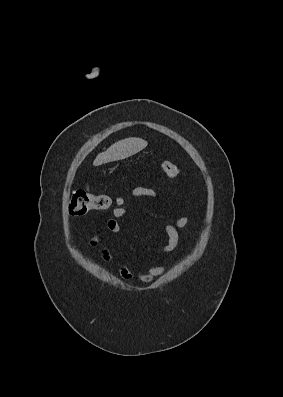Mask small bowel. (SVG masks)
Instances as JSON below:
<instances>
[{"mask_svg": "<svg viewBox=\"0 0 283 397\" xmlns=\"http://www.w3.org/2000/svg\"><path fill=\"white\" fill-rule=\"evenodd\" d=\"M131 196L133 197H145L155 202L162 203L161 198L151 188L138 186L132 189ZM128 215V210L124 207H116L112 210V217L109 218L105 223V228L114 234L121 232V225L118 219ZM188 217L186 215L172 216V223H165L163 225L164 232L167 236V243L161 246L160 251L162 253H169L173 251L179 243V232L178 229L184 228L188 224ZM90 244L93 247H99L102 258L111 262L114 256L110 249L105 245L104 238L101 231L95 232L90 239ZM119 275L124 280L137 279L142 283H151L156 277L164 274L165 268L163 266H151L144 271L134 273L127 265L120 264L118 268Z\"/></svg>", "mask_w": 283, "mask_h": 397, "instance_id": "small-bowel-1", "label": "small bowel"}]
</instances>
